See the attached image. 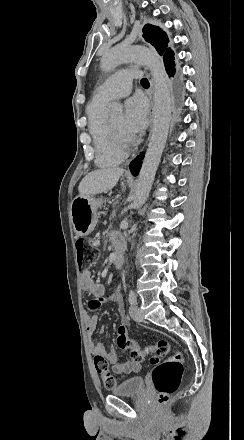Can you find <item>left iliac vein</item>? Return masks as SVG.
<instances>
[{
	"instance_id": "obj_1",
	"label": "left iliac vein",
	"mask_w": 244,
	"mask_h": 440,
	"mask_svg": "<svg viewBox=\"0 0 244 440\" xmlns=\"http://www.w3.org/2000/svg\"><path fill=\"white\" fill-rule=\"evenodd\" d=\"M129 314L131 318L137 322H141L143 320V314L141 312V309L136 305H132L130 307Z\"/></svg>"
}]
</instances>
